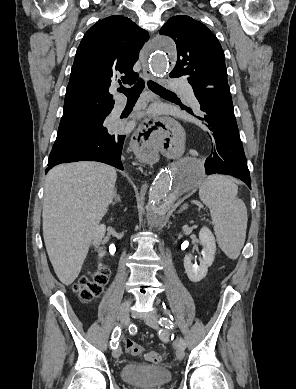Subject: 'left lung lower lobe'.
Masks as SVG:
<instances>
[{
  "label": "left lung lower lobe",
  "instance_id": "left-lung-lower-lobe-1",
  "mask_svg": "<svg viewBox=\"0 0 296 389\" xmlns=\"http://www.w3.org/2000/svg\"><path fill=\"white\" fill-rule=\"evenodd\" d=\"M204 112L200 118L209 129L211 153L205 161L206 174L232 175L251 189L250 174L229 86L194 90Z\"/></svg>",
  "mask_w": 296,
  "mask_h": 389
}]
</instances>
